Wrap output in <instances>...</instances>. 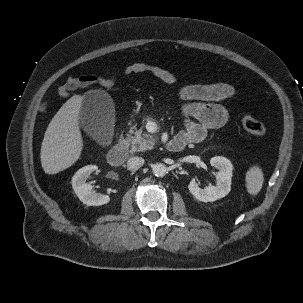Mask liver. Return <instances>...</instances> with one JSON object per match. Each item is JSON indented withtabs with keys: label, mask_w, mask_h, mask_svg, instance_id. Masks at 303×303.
<instances>
[{
	"label": "liver",
	"mask_w": 303,
	"mask_h": 303,
	"mask_svg": "<svg viewBox=\"0 0 303 303\" xmlns=\"http://www.w3.org/2000/svg\"><path fill=\"white\" fill-rule=\"evenodd\" d=\"M82 96L74 95L59 109L46 129L40 159L46 174H57L76 163L83 150L78 124Z\"/></svg>",
	"instance_id": "6515ba94"
}]
</instances>
